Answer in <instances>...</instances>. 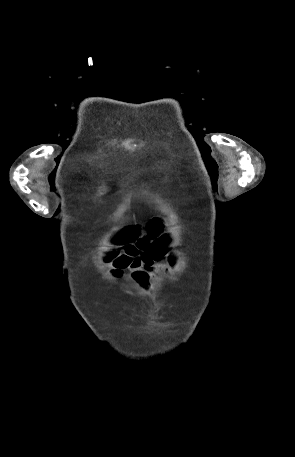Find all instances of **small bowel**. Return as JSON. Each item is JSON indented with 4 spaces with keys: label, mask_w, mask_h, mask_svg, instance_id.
Returning <instances> with one entry per match:
<instances>
[{
    "label": "small bowel",
    "mask_w": 295,
    "mask_h": 457,
    "mask_svg": "<svg viewBox=\"0 0 295 457\" xmlns=\"http://www.w3.org/2000/svg\"><path fill=\"white\" fill-rule=\"evenodd\" d=\"M162 228V220L155 217L148 222L145 236L139 237L138 228H129L113 239L114 245H124V253L130 248L136 251L134 259L137 265L131 267V278L142 286L158 275L169 273L176 265L175 258L162 261L169 248V239L162 234ZM138 250H141L140 254Z\"/></svg>",
    "instance_id": "c3829d8e"
}]
</instances>
